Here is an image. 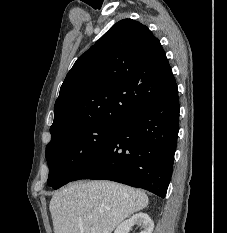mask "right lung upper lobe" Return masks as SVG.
Here are the masks:
<instances>
[{
  "instance_id": "1",
  "label": "right lung upper lobe",
  "mask_w": 227,
  "mask_h": 233,
  "mask_svg": "<svg viewBox=\"0 0 227 233\" xmlns=\"http://www.w3.org/2000/svg\"><path fill=\"white\" fill-rule=\"evenodd\" d=\"M176 85L160 41L140 22L123 19L82 54L54 106L52 137L78 126L121 123Z\"/></svg>"
}]
</instances>
